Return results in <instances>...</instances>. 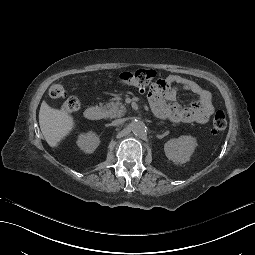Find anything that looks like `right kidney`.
<instances>
[{
	"mask_svg": "<svg viewBox=\"0 0 255 255\" xmlns=\"http://www.w3.org/2000/svg\"><path fill=\"white\" fill-rule=\"evenodd\" d=\"M99 145V139L92 132L79 138L78 146L87 153H91Z\"/></svg>",
	"mask_w": 255,
	"mask_h": 255,
	"instance_id": "right-kidney-1",
	"label": "right kidney"
}]
</instances>
